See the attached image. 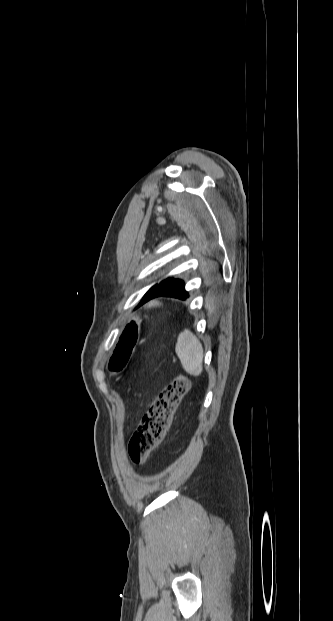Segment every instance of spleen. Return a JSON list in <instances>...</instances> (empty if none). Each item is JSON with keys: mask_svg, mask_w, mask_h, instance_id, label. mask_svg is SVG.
I'll list each match as a JSON object with an SVG mask.
<instances>
[{"mask_svg": "<svg viewBox=\"0 0 333 621\" xmlns=\"http://www.w3.org/2000/svg\"><path fill=\"white\" fill-rule=\"evenodd\" d=\"M175 352L188 374L193 376L201 375L203 370V347L189 330H185L179 335Z\"/></svg>", "mask_w": 333, "mask_h": 621, "instance_id": "obj_1", "label": "spleen"}]
</instances>
